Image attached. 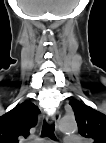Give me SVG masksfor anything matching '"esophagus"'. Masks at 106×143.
Segmentation results:
<instances>
[{"label":"esophagus","instance_id":"obj_1","mask_svg":"<svg viewBox=\"0 0 106 143\" xmlns=\"http://www.w3.org/2000/svg\"><path fill=\"white\" fill-rule=\"evenodd\" d=\"M60 117H61V114H60L59 111H57V112L54 113V115L47 117V122H48L49 125L54 124L55 127H57L58 122L60 120Z\"/></svg>","mask_w":106,"mask_h":143}]
</instances>
